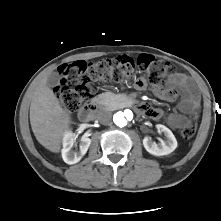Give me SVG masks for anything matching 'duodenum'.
Segmentation results:
<instances>
[{
    "instance_id": "1",
    "label": "duodenum",
    "mask_w": 221,
    "mask_h": 221,
    "mask_svg": "<svg viewBox=\"0 0 221 221\" xmlns=\"http://www.w3.org/2000/svg\"><path fill=\"white\" fill-rule=\"evenodd\" d=\"M100 107V102L98 99H93L87 108L83 109L79 113V118L81 121L87 122L91 120L94 116V112ZM138 109H142L140 105H136Z\"/></svg>"
}]
</instances>
